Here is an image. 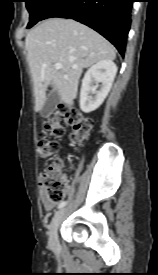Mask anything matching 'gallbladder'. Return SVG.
<instances>
[{
  "label": "gallbladder",
  "instance_id": "bac80fb5",
  "mask_svg": "<svg viewBox=\"0 0 158 275\" xmlns=\"http://www.w3.org/2000/svg\"><path fill=\"white\" fill-rule=\"evenodd\" d=\"M61 103V97L57 91H52L45 100L44 106L41 110V115L43 117H48L52 114L57 106Z\"/></svg>",
  "mask_w": 158,
  "mask_h": 275
}]
</instances>
